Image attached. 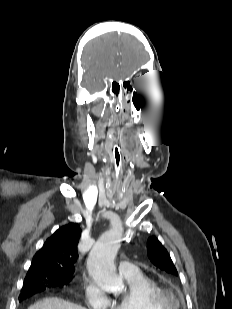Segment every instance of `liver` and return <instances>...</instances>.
I'll return each instance as SVG.
<instances>
[{"instance_id":"liver-1","label":"liver","mask_w":232,"mask_h":309,"mask_svg":"<svg viewBox=\"0 0 232 309\" xmlns=\"http://www.w3.org/2000/svg\"><path fill=\"white\" fill-rule=\"evenodd\" d=\"M28 309H86L77 304L65 301L61 298L50 297L36 302Z\"/></svg>"}]
</instances>
